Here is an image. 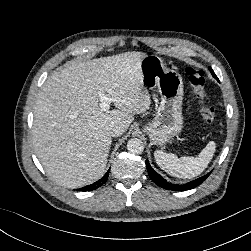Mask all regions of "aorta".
<instances>
[{
	"mask_svg": "<svg viewBox=\"0 0 251 251\" xmlns=\"http://www.w3.org/2000/svg\"><path fill=\"white\" fill-rule=\"evenodd\" d=\"M127 150L131 154H141L144 150V144L140 139L132 138L127 143Z\"/></svg>",
	"mask_w": 251,
	"mask_h": 251,
	"instance_id": "aorta-1",
	"label": "aorta"
}]
</instances>
